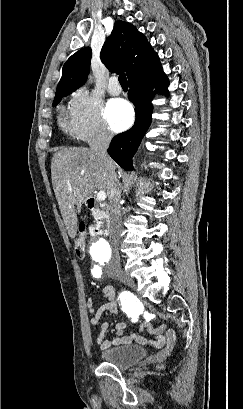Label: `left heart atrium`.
<instances>
[{
  "label": "left heart atrium",
  "instance_id": "left-heart-atrium-1",
  "mask_svg": "<svg viewBox=\"0 0 243 409\" xmlns=\"http://www.w3.org/2000/svg\"><path fill=\"white\" fill-rule=\"evenodd\" d=\"M104 118L114 132L124 131L133 122V108L126 100H110L104 109Z\"/></svg>",
  "mask_w": 243,
  "mask_h": 409
}]
</instances>
